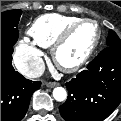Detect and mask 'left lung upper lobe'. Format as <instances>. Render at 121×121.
I'll return each instance as SVG.
<instances>
[{"instance_id": "1", "label": "left lung upper lobe", "mask_w": 121, "mask_h": 121, "mask_svg": "<svg viewBox=\"0 0 121 121\" xmlns=\"http://www.w3.org/2000/svg\"><path fill=\"white\" fill-rule=\"evenodd\" d=\"M110 46H121V40L113 30L109 31V34L107 37V47H110Z\"/></svg>"}]
</instances>
